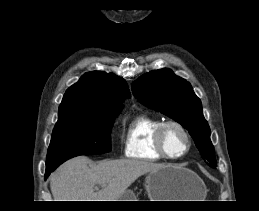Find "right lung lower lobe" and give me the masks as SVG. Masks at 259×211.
Returning <instances> with one entry per match:
<instances>
[{
  "instance_id": "obj_1",
  "label": "right lung lower lobe",
  "mask_w": 259,
  "mask_h": 211,
  "mask_svg": "<svg viewBox=\"0 0 259 211\" xmlns=\"http://www.w3.org/2000/svg\"><path fill=\"white\" fill-rule=\"evenodd\" d=\"M55 168L56 167L46 168L45 177L47 178Z\"/></svg>"
}]
</instances>
